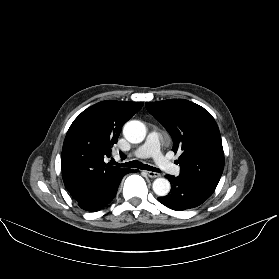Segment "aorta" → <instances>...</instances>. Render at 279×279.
Listing matches in <instances>:
<instances>
[{"label":"aorta","mask_w":279,"mask_h":279,"mask_svg":"<svg viewBox=\"0 0 279 279\" xmlns=\"http://www.w3.org/2000/svg\"><path fill=\"white\" fill-rule=\"evenodd\" d=\"M123 134L129 142L140 143L146 136V127L142 122L132 120L125 124ZM170 189V182L166 178H157L153 182V191L158 196H166Z\"/></svg>","instance_id":"obj_1"}]
</instances>
